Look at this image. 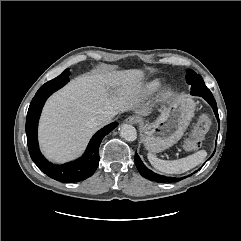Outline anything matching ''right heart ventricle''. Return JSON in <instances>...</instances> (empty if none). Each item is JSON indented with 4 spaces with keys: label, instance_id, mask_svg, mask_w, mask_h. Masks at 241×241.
I'll return each instance as SVG.
<instances>
[{
    "label": "right heart ventricle",
    "instance_id": "1",
    "mask_svg": "<svg viewBox=\"0 0 241 241\" xmlns=\"http://www.w3.org/2000/svg\"><path fill=\"white\" fill-rule=\"evenodd\" d=\"M160 86V80L159 79H152L148 82L143 87L144 93L146 95H151L153 94Z\"/></svg>",
    "mask_w": 241,
    "mask_h": 241
}]
</instances>
